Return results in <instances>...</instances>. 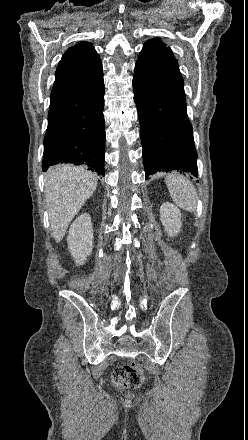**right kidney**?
I'll list each match as a JSON object with an SVG mask.
<instances>
[{"label":"right kidney","mask_w":248,"mask_h":440,"mask_svg":"<svg viewBox=\"0 0 248 440\" xmlns=\"http://www.w3.org/2000/svg\"><path fill=\"white\" fill-rule=\"evenodd\" d=\"M67 243L76 265H83L93 249V227L89 214L80 215L71 224Z\"/></svg>","instance_id":"right-kidney-1"}]
</instances>
